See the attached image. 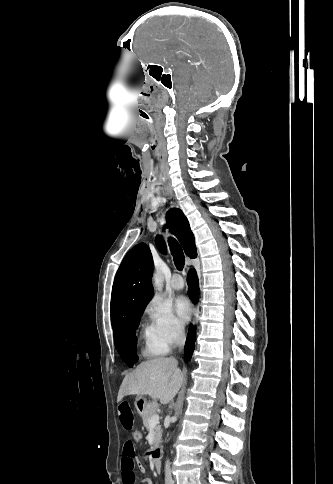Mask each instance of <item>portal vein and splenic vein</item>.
Listing matches in <instances>:
<instances>
[{
  "mask_svg": "<svg viewBox=\"0 0 333 484\" xmlns=\"http://www.w3.org/2000/svg\"><path fill=\"white\" fill-rule=\"evenodd\" d=\"M159 423V415L155 414L149 419V425L150 426H155Z\"/></svg>",
  "mask_w": 333,
  "mask_h": 484,
  "instance_id": "portal-vein-and-splenic-vein-1",
  "label": "portal vein and splenic vein"
}]
</instances>
